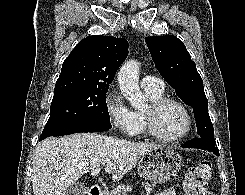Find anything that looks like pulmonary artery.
I'll use <instances>...</instances> for the list:
<instances>
[{
  "mask_svg": "<svg viewBox=\"0 0 245 195\" xmlns=\"http://www.w3.org/2000/svg\"><path fill=\"white\" fill-rule=\"evenodd\" d=\"M141 87L148 91H162L164 90V82L160 78L147 75L141 79Z\"/></svg>",
  "mask_w": 245,
  "mask_h": 195,
  "instance_id": "e3ab8cb5",
  "label": "pulmonary artery"
}]
</instances>
